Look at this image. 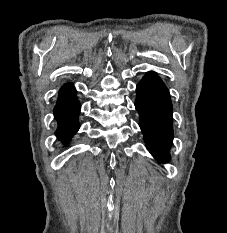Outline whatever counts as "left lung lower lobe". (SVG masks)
Segmentation results:
<instances>
[{
    "label": "left lung lower lobe",
    "mask_w": 227,
    "mask_h": 233,
    "mask_svg": "<svg viewBox=\"0 0 227 233\" xmlns=\"http://www.w3.org/2000/svg\"><path fill=\"white\" fill-rule=\"evenodd\" d=\"M136 110L146 147L155 159L170 160L173 141V117L170 94L155 72H148L136 87Z\"/></svg>",
    "instance_id": "left-lung-lower-lobe-1"
}]
</instances>
